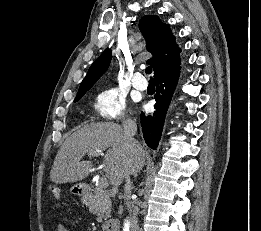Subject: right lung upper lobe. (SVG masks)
Wrapping results in <instances>:
<instances>
[{
  "label": "right lung upper lobe",
  "instance_id": "1",
  "mask_svg": "<svg viewBox=\"0 0 261 231\" xmlns=\"http://www.w3.org/2000/svg\"><path fill=\"white\" fill-rule=\"evenodd\" d=\"M139 28L146 40L147 50L153 55L147 62L153 66L154 78L180 67L181 50L168 24L163 23L158 16H144L139 22ZM110 61L111 50L107 48L89 68L78 93L87 92L107 70Z\"/></svg>",
  "mask_w": 261,
  "mask_h": 231
}]
</instances>
